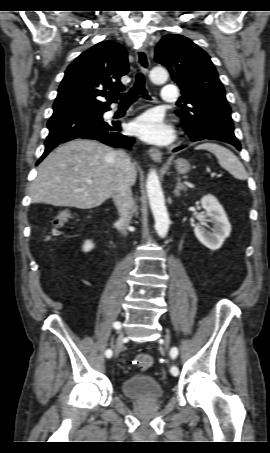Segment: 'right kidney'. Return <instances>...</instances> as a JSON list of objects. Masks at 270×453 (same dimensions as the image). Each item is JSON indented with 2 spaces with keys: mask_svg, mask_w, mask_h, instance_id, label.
Listing matches in <instances>:
<instances>
[{
  "mask_svg": "<svg viewBox=\"0 0 270 453\" xmlns=\"http://www.w3.org/2000/svg\"><path fill=\"white\" fill-rule=\"evenodd\" d=\"M94 244L91 241H86L85 244L83 245V251L84 252H89L93 249Z\"/></svg>",
  "mask_w": 270,
  "mask_h": 453,
  "instance_id": "ca27d5eb",
  "label": "right kidney"
}]
</instances>
